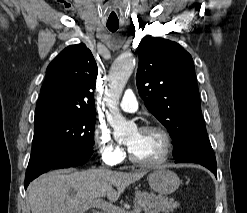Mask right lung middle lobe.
I'll return each mask as SVG.
<instances>
[{
  "instance_id": "right-lung-middle-lobe-1",
  "label": "right lung middle lobe",
  "mask_w": 247,
  "mask_h": 213,
  "mask_svg": "<svg viewBox=\"0 0 247 213\" xmlns=\"http://www.w3.org/2000/svg\"><path fill=\"white\" fill-rule=\"evenodd\" d=\"M96 112L49 111L35 115L30 160L53 149L68 155L93 152Z\"/></svg>"
}]
</instances>
